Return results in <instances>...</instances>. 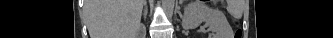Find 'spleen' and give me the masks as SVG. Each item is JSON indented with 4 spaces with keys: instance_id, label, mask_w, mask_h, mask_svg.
I'll return each instance as SVG.
<instances>
[{
    "instance_id": "3e777b00",
    "label": "spleen",
    "mask_w": 333,
    "mask_h": 38,
    "mask_svg": "<svg viewBox=\"0 0 333 38\" xmlns=\"http://www.w3.org/2000/svg\"><path fill=\"white\" fill-rule=\"evenodd\" d=\"M229 10L232 14H235L236 15V10L232 7V6H229Z\"/></svg>"
}]
</instances>
